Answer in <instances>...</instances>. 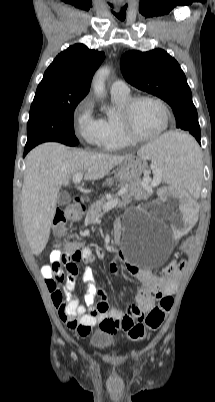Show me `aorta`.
I'll list each match as a JSON object with an SVG mask.
<instances>
[{
	"label": "aorta",
	"mask_w": 215,
	"mask_h": 402,
	"mask_svg": "<svg viewBox=\"0 0 215 402\" xmlns=\"http://www.w3.org/2000/svg\"><path fill=\"white\" fill-rule=\"evenodd\" d=\"M110 73V69L108 67H101L97 70L94 75L92 85L94 88V92L97 96L103 97L105 94V80ZM111 114V111L108 112V115Z\"/></svg>",
	"instance_id": "1"
}]
</instances>
